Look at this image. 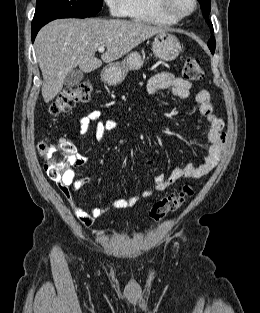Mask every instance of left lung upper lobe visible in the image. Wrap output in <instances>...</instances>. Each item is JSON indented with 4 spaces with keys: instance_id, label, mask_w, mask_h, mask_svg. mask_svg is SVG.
Masks as SVG:
<instances>
[{
    "instance_id": "obj_1",
    "label": "left lung upper lobe",
    "mask_w": 260,
    "mask_h": 313,
    "mask_svg": "<svg viewBox=\"0 0 260 313\" xmlns=\"http://www.w3.org/2000/svg\"><path fill=\"white\" fill-rule=\"evenodd\" d=\"M198 1L202 6L203 16L206 19V22L208 23L209 27L211 28V32H213L212 23L208 19V15H209L210 10H211V2H210V0H198ZM215 45H216L215 44V38L212 35L210 40L208 41V47L212 53H214V51H215Z\"/></svg>"
}]
</instances>
